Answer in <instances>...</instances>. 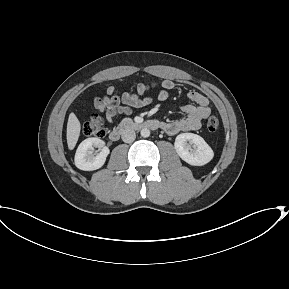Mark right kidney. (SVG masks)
<instances>
[{
  "mask_svg": "<svg viewBox=\"0 0 289 289\" xmlns=\"http://www.w3.org/2000/svg\"><path fill=\"white\" fill-rule=\"evenodd\" d=\"M94 147H103L98 154H93ZM109 154V149L104 147V142L96 137L87 138L80 143L75 154V165L77 168L84 171H93L101 168L106 157Z\"/></svg>",
  "mask_w": 289,
  "mask_h": 289,
  "instance_id": "1",
  "label": "right kidney"
}]
</instances>
